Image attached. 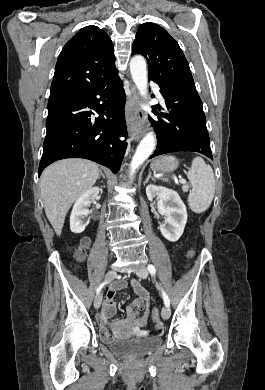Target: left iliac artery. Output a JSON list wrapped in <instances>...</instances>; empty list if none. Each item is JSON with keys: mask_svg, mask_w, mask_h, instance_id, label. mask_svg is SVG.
I'll list each match as a JSON object with an SVG mask.
<instances>
[{"mask_svg": "<svg viewBox=\"0 0 265 390\" xmlns=\"http://www.w3.org/2000/svg\"><path fill=\"white\" fill-rule=\"evenodd\" d=\"M147 268H148V271L150 272V274L154 276L156 273L155 267L152 264H149ZM162 297H163L165 305L169 307L170 306V299H169L168 295L163 290H162Z\"/></svg>", "mask_w": 265, "mask_h": 390, "instance_id": "44dca946", "label": "left iliac artery"}]
</instances>
